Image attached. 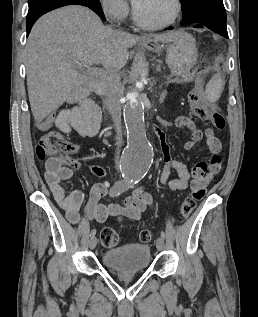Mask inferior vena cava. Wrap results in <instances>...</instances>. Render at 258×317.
<instances>
[{"mask_svg": "<svg viewBox=\"0 0 258 317\" xmlns=\"http://www.w3.org/2000/svg\"><path fill=\"white\" fill-rule=\"evenodd\" d=\"M107 78L105 80V102L107 104V108L113 118L115 130H116V152H115V165L118 167L119 165V156H120V146H122L123 136H122V122H121V106L119 104H115L114 96L116 94V86L118 84V80H116V76L113 70H107Z\"/></svg>", "mask_w": 258, "mask_h": 317, "instance_id": "inferior-vena-cava-1", "label": "inferior vena cava"}]
</instances>
